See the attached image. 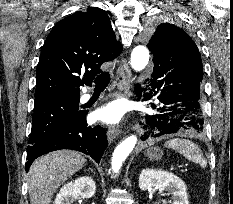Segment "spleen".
Returning <instances> with one entry per match:
<instances>
[{"label":"spleen","instance_id":"obj_1","mask_svg":"<svg viewBox=\"0 0 233 204\" xmlns=\"http://www.w3.org/2000/svg\"><path fill=\"white\" fill-rule=\"evenodd\" d=\"M164 146L166 148L178 151L186 159L199 164L202 168L207 166V161L205 160L200 148L188 139H171L168 140Z\"/></svg>","mask_w":233,"mask_h":204}]
</instances>
